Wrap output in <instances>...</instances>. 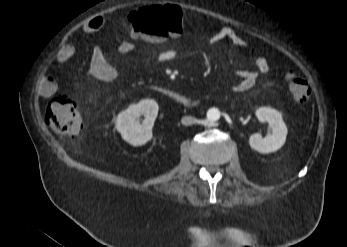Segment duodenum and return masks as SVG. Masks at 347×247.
<instances>
[{"label":"duodenum","instance_id":"obj_1","mask_svg":"<svg viewBox=\"0 0 347 247\" xmlns=\"http://www.w3.org/2000/svg\"><path fill=\"white\" fill-rule=\"evenodd\" d=\"M169 98L183 107H194L196 105V100L182 94L180 92L171 91L168 94Z\"/></svg>","mask_w":347,"mask_h":247}]
</instances>
